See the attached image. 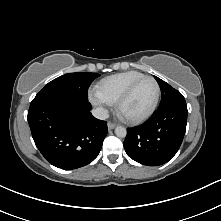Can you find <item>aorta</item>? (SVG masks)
<instances>
[{
    "label": "aorta",
    "instance_id": "1",
    "mask_svg": "<svg viewBox=\"0 0 221 221\" xmlns=\"http://www.w3.org/2000/svg\"><path fill=\"white\" fill-rule=\"evenodd\" d=\"M115 134H116V136L119 137V138H124V137H126V135H127V130H126V128L123 127V126H117V127L115 128Z\"/></svg>",
    "mask_w": 221,
    "mask_h": 221
}]
</instances>
